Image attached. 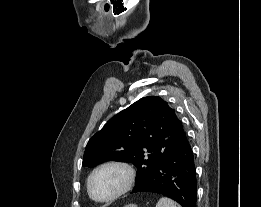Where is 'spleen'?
<instances>
[{
  "label": "spleen",
  "instance_id": "spleen-1",
  "mask_svg": "<svg viewBox=\"0 0 261 207\" xmlns=\"http://www.w3.org/2000/svg\"><path fill=\"white\" fill-rule=\"evenodd\" d=\"M156 207H180V206L177 205L173 200L163 197L157 202Z\"/></svg>",
  "mask_w": 261,
  "mask_h": 207
}]
</instances>
